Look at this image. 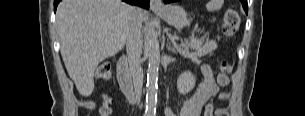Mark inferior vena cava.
I'll return each instance as SVG.
<instances>
[{
	"instance_id": "obj_1",
	"label": "inferior vena cava",
	"mask_w": 305,
	"mask_h": 116,
	"mask_svg": "<svg viewBox=\"0 0 305 116\" xmlns=\"http://www.w3.org/2000/svg\"><path fill=\"white\" fill-rule=\"evenodd\" d=\"M136 11H140L136 8ZM142 21L135 17L128 25L126 34V51L138 103L140 102L143 86V69L141 66L142 53Z\"/></svg>"
}]
</instances>
